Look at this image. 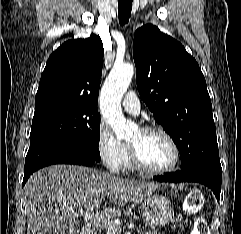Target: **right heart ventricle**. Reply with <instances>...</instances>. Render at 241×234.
<instances>
[{
  "label": "right heart ventricle",
  "mask_w": 241,
  "mask_h": 234,
  "mask_svg": "<svg viewBox=\"0 0 241 234\" xmlns=\"http://www.w3.org/2000/svg\"><path fill=\"white\" fill-rule=\"evenodd\" d=\"M122 169L126 170V171H131V170L134 169V166L131 162L128 145H125V152H124V157H123V162H122Z\"/></svg>",
  "instance_id": "1"
}]
</instances>
